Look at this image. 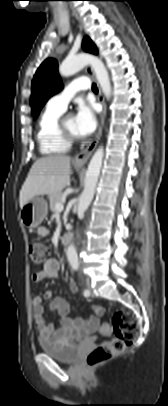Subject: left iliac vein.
I'll return each mask as SVG.
<instances>
[{
  "instance_id": "obj_1",
  "label": "left iliac vein",
  "mask_w": 168,
  "mask_h": 406,
  "mask_svg": "<svg viewBox=\"0 0 168 406\" xmlns=\"http://www.w3.org/2000/svg\"><path fill=\"white\" fill-rule=\"evenodd\" d=\"M89 290L91 291V288L89 287ZM91 296H93L92 292H91Z\"/></svg>"
}]
</instances>
